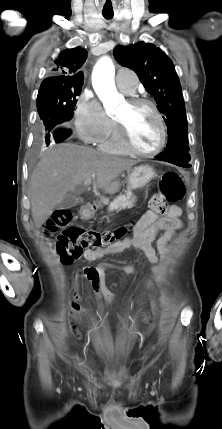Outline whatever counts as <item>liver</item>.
<instances>
[{"label": "liver", "mask_w": 222, "mask_h": 429, "mask_svg": "<svg viewBox=\"0 0 222 429\" xmlns=\"http://www.w3.org/2000/svg\"><path fill=\"white\" fill-rule=\"evenodd\" d=\"M134 160L109 156L93 148L61 144L47 149L30 177L31 214L40 228L68 192L95 177V186L108 193L118 191L119 175Z\"/></svg>", "instance_id": "1"}]
</instances>
